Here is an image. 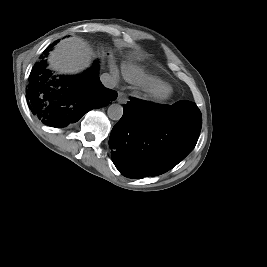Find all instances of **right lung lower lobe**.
I'll use <instances>...</instances> for the list:
<instances>
[{"mask_svg":"<svg viewBox=\"0 0 267 267\" xmlns=\"http://www.w3.org/2000/svg\"><path fill=\"white\" fill-rule=\"evenodd\" d=\"M116 97L114 90L101 84L97 62L83 74L55 76L46 61L41 60L34 65L26 88L32 114L43 124L56 128L77 122L88 111L106 106Z\"/></svg>","mask_w":267,"mask_h":267,"instance_id":"98d812e1","label":"right lung lower lobe"}]
</instances>
